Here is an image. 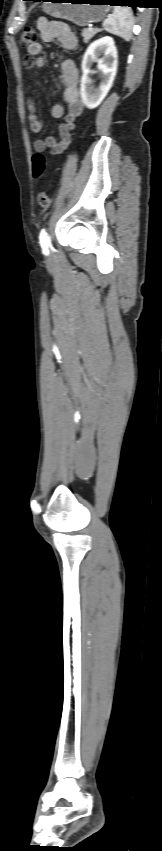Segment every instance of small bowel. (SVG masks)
Segmentation results:
<instances>
[{
	"instance_id": "obj_1",
	"label": "small bowel",
	"mask_w": 162,
	"mask_h": 851,
	"mask_svg": "<svg viewBox=\"0 0 162 851\" xmlns=\"http://www.w3.org/2000/svg\"><path fill=\"white\" fill-rule=\"evenodd\" d=\"M37 26L41 32L43 43L36 42L27 48L29 56L24 59V65L27 68H42L45 66L46 60L41 56L44 50V43L58 41L64 49L68 50H73L78 46L76 35L64 22L40 18L37 21ZM61 77L64 83L63 98L67 104V109L65 110L61 104H54L52 106L51 115L54 118H61L63 121L59 124L57 136H48L45 139H36L34 141V149L37 152H43L48 149L51 155L63 153L71 143L76 119L82 114L84 109L78 92L79 73L73 61L65 60L62 63ZM27 109L29 111L31 131L36 134L41 133L44 130V121L37 115L38 107L36 103L31 99L28 100Z\"/></svg>"
}]
</instances>
